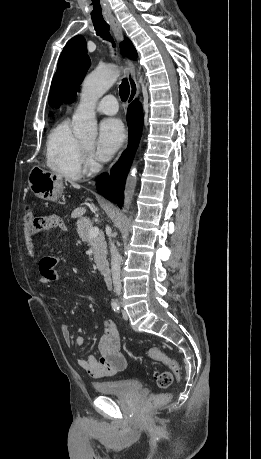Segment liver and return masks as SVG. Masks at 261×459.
I'll return each instance as SVG.
<instances>
[{"label":"liver","mask_w":261,"mask_h":459,"mask_svg":"<svg viewBox=\"0 0 261 459\" xmlns=\"http://www.w3.org/2000/svg\"><path fill=\"white\" fill-rule=\"evenodd\" d=\"M72 186L76 189H79L80 188V185L79 184H75V183H72ZM86 212V209L85 208H78L74 211L73 213V216H79V215H83L84 213Z\"/></svg>","instance_id":"1"}]
</instances>
